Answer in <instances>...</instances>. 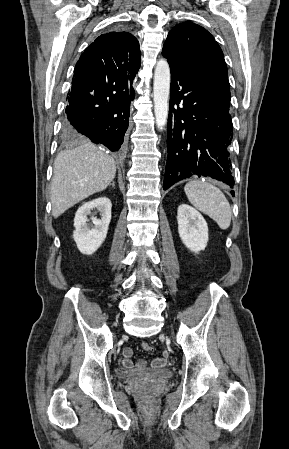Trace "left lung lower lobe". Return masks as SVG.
<instances>
[{"label":"left lung lower lobe","mask_w":289,"mask_h":449,"mask_svg":"<svg viewBox=\"0 0 289 449\" xmlns=\"http://www.w3.org/2000/svg\"><path fill=\"white\" fill-rule=\"evenodd\" d=\"M170 70L168 157L163 189L191 176L211 177L232 187L230 103L192 72L172 67Z\"/></svg>","instance_id":"0a47b994"}]
</instances>
